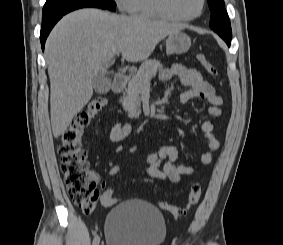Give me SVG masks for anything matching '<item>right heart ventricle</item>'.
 I'll return each mask as SVG.
<instances>
[{"label":"right heart ventricle","instance_id":"1","mask_svg":"<svg viewBox=\"0 0 283 245\" xmlns=\"http://www.w3.org/2000/svg\"><path fill=\"white\" fill-rule=\"evenodd\" d=\"M127 11L138 16L169 19L158 9L156 0H130Z\"/></svg>","mask_w":283,"mask_h":245}]
</instances>
